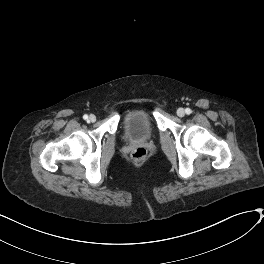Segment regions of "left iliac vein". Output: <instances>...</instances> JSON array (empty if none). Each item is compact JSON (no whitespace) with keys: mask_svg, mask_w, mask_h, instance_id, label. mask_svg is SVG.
<instances>
[{"mask_svg":"<svg viewBox=\"0 0 264 264\" xmlns=\"http://www.w3.org/2000/svg\"><path fill=\"white\" fill-rule=\"evenodd\" d=\"M177 115H178L179 117H184V116H185V110H184L183 108H179V109L177 110Z\"/></svg>","mask_w":264,"mask_h":264,"instance_id":"obj_1","label":"left iliac vein"}]
</instances>
